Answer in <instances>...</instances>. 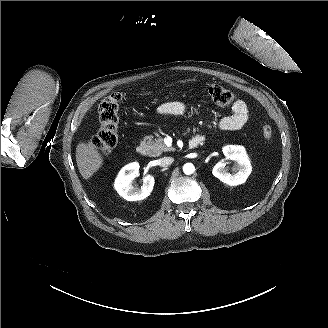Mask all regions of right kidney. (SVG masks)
Segmentation results:
<instances>
[{"label": "right kidney", "instance_id": "obj_1", "mask_svg": "<svg viewBox=\"0 0 328 328\" xmlns=\"http://www.w3.org/2000/svg\"><path fill=\"white\" fill-rule=\"evenodd\" d=\"M139 167L138 162L129 163L119 171L115 179V190L127 201L145 199L153 190L154 178L151 175H147L143 178V185L141 188L132 185L133 180L139 176Z\"/></svg>", "mask_w": 328, "mask_h": 328}]
</instances>
